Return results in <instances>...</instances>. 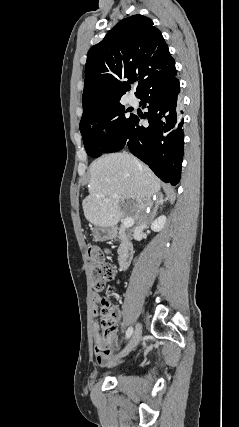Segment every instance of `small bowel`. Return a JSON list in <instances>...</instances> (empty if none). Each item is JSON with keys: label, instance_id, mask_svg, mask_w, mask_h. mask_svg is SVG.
Segmentation results:
<instances>
[{"label": "small bowel", "instance_id": "obj_1", "mask_svg": "<svg viewBox=\"0 0 239 427\" xmlns=\"http://www.w3.org/2000/svg\"><path fill=\"white\" fill-rule=\"evenodd\" d=\"M100 300V296L95 294L93 296V301L96 303ZM96 312V311H94ZM114 315L116 318V321L119 320L120 318V312L118 309L114 310ZM95 342H96V347H95V354H96V361L99 365L104 366V365H113L116 364L119 361V357L120 356H113L112 357V353H113V348L109 347L108 349H101L100 345H101V337L98 333V326H95Z\"/></svg>", "mask_w": 239, "mask_h": 427}]
</instances>
